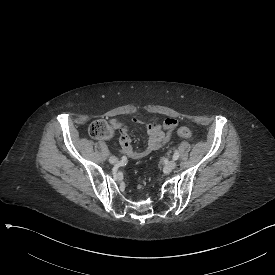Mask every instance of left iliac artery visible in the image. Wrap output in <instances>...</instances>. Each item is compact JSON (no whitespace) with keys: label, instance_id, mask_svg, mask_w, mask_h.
<instances>
[{"label":"left iliac artery","instance_id":"obj_1","mask_svg":"<svg viewBox=\"0 0 275 275\" xmlns=\"http://www.w3.org/2000/svg\"><path fill=\"white\" fill-rule=\"evenodd\" d=\"M179 158V152L178 150H175L174 155H173V160H177Z\"/></svg>","mask_w":275,"mask_h":275}]
</instances>
